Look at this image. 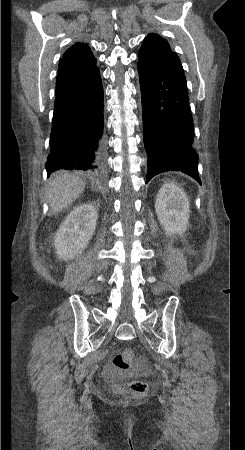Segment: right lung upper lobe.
<instances>
[{"label": "right lung upper lobe", "instance_id": "cb5924a9", "mask_svg": "<svg viewBox=\"0 0 245 450\" xmlns=\"http://www.w3.org/2000/svg\"><path fill=\"white\" fill-rule=\"evenodd\" d=\"M95 63V57L87 45L77 43L69 48L60 60L55 92L88 74L96 67Z\"/></svg>", "mask_w": 245, "mask_h": 450}]
</instances>
